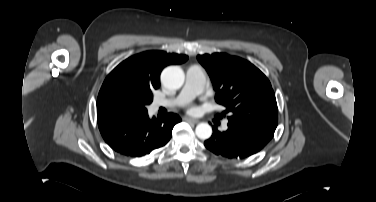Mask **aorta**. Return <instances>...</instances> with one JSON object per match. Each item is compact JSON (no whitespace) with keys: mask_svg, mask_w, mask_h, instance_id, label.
<instances>
[{"mask_svg":"<svg viewBox=\"0 0 376 202\" xmlns=\"http://www.w3.org/2000/svg\"><path fill=\"white\" fill-rule=\"evenodd\" d=\"M185 75L178 66H170L163 70L162 83L169 89H179L184 83ZM195 133L201 140H206L212 135V128L208 123H200L196 126Z\"/></svg>","mask_w":376,"mask_h":202,"instance_id":"762f6f07","label":"aorta"}]
</instances>
